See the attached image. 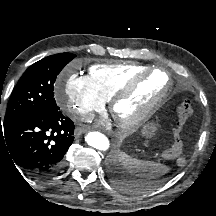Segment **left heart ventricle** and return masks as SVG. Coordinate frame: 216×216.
<instances>
[{"label": "left heart ventricle", "mask_w": 216, "mask_h": 216, "mask_svg": "<svg viewBox=\"0 0 216 216\" xmlns=\"http://www.w3.org/2000/svg\"><path fill=\"white\" fill-rule=\"evenodd\" d=\"M166 82L167 78L164 74L155 73L145 84L142 85L136 96L127 103L118 106V114L124 118L136 115L150 99L165 87Z\"/></svg>", "instance_id": "b2bd125f"}]
</instances>
